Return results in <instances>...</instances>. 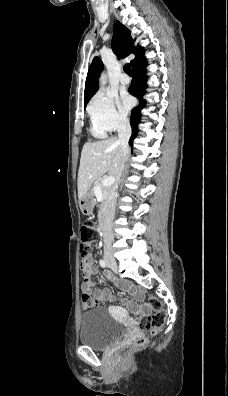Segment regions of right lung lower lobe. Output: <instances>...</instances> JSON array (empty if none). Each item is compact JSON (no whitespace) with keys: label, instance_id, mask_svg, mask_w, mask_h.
I'll return each instance as SVG.
<instances>
[{"label":"right lung lower lobe","instance_id":"1","mask_svg":"<svg viewBox=\"0 0 228 396\" xmlns=\"http://www.w3.org/2000/svg\"><path fill=\"white\" fill-rule=\"evenodd\" d=\"M147 60L142 57V59L132 67V71L134 77L132 79V83L129 87V93L133 96L137 97L140 101L139 105L132 109L131 117H130V124L132 127V137L129 140V145L132 146L133 139L136 137L138 132V123L140 122V111L145 105V101L142 98V95L145 93V88L147 87L146 80H147Z\"/></svg>","mask_w":228,"mask_h":396}]
</instances>
